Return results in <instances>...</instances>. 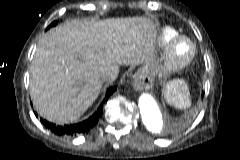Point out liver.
<instances>
[{
    "mask_svg": "<svg viewBox=\"0 0 240 160\" xmlns=\"http://www.w3.org/2000/svg\"><path fill=\"white\" fill-rule=\"evenodd\" d=\"M156 34L144 17L72 20L50 29L31 64L34 108L56 124L76 121L98 97L103 75L117 77L119 65L150 63Z\"/></svg>",
    "mask_w": 240,
    "mask_h": 160,
    "instance_id": "obj_1",
    "label": "liver"
}]
</instances>
